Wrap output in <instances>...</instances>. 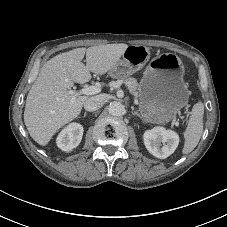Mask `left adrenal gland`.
<instances>
[{"label":"left adrenal gland","mask_w":227,"mask_h":227,"mask_svg":"<svg viewBox=\"0 0 227 227\" xmlns=\"http://www.w3.org/2000/svg\"><path fill=\"white\" fill-rule=\"evenodd\" d=\"M132 115L137 116V117H141L140 114L137 111H135L133 108H132Z\"/></svg>","instance_id":"1"}]
</instances>
